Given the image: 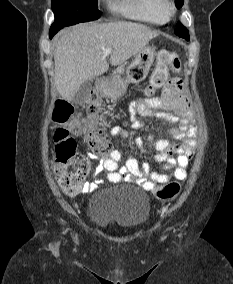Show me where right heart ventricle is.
I'll return each mask as SVG.
<instances>
[{
    "label": "right heart ventricle",
    "mask_w": 233,
    "mask_h": 284,
    "mask_svg": "<svg viewBox=\"0 0 233 284\" xmlns=\"http://www.w3.org/2000/svg\"><path fill=\"white\" fill-rule=\"evenodd\" d=\"M161 0H112L111 8L125 18L154 25L165 23L160 13Z\"/></svg>",
    "instance_id": "e07e8e85"
}]
</instances>
